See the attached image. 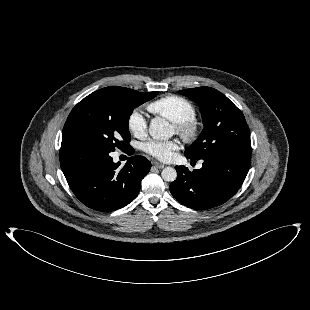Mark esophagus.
Returning a JSON list of instances; mask_svg holds the SVG:
<instances>
[{
    "instance_id": "34e87169",
    "label": "esophagus",
    "mask_w": 310,
    "mask_h": 310,
    "mask_svg": "<svg viewBox=\"0 0 310 310\" xmlns=\"http://www.w3.org/2000/svg\"><path fill=\"white\" fill-rule=\"evenodd\" d=\"M153 166L158 168V169H163L165 167L164 164H161L159 162H153Z\"/></svg>"
}]
</instances>
